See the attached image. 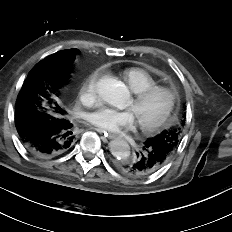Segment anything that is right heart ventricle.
I'll return each mask as SVG.
<instances>
[{"mask_svg":"<svg viewBox=\"0 0 232 232\" xmlns=\"http://www.w3.org/2000/svg\"><path fill=\"white\" fill-rule=\"evenodd\" d=\"M122 77L134 93L157 85L155 78L141 68H128L124 70Z\"/></svg>","mask_w":232,"mask_h":232,"instance_id":"1","label":"right heart ventricle"}]
</instances>
